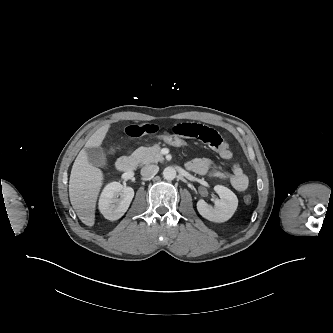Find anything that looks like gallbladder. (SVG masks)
I'll use <instances>...</instances> for the list:
<instances>
[{"label":"gallbladder","mask_w":333,"mask_h":333,"mask_svg":"<svg viewBox=\"0 0 333 333\" xmlns=\"http://www.w3.org/2000/svg\"><path fill=\"white\" fill-rule=\"evenodd\" d=\"M89 162L96 167L106 168L108 161L102 148L91 147L86 149Z\"/></svg>","instance_id":"bac80fb5"}]
</instances>
